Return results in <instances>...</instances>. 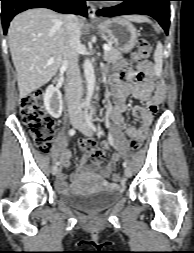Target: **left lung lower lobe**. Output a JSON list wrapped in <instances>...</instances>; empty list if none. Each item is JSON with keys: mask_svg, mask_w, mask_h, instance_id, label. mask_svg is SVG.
I'll return each instance as SVG.
<instances>
[{"mask_svg": "<svg viewBox=\"0 0 194 253\" xmlns=\"http://www.w3.org/2000/svg\"><path fill=\"white\" fill-rule=\"evenodd\" d=\"M123 3L97 11L98 16L113 17L127 14H143L155 18L168 35L170 24L169 1L171 0H118Z\"/></svg>", "mask_w": 194, "mask_h": 253, "instance_id": "0a47b994", "label": "left lung lower lobe"}]
</instances>
